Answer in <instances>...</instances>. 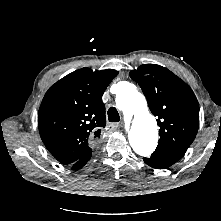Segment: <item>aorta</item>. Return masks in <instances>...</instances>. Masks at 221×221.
<instances>
[{
    "instance_id": "762f6f07",
    "label": "aorta",
    "mask_w": 221,
    "mask_h": 221,
    "mask_svg": "<svg viewBox=\"0 0 221 221\" xmlns=\"http://www.w3.org/2000/svg\"><path fill=\"white\" fill-rule=\"evenodd\" d=\"M117 108L131 121L129 141L136 154L148 157L158 143L155 118L148 112L146 99L131 83H123L116 96Z\"/></svg>"
}]
</instances>
